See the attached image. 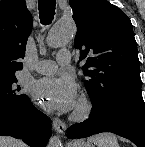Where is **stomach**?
<instances>
[{
    "instance_id": "stomach-1",
    "label": "stomach",
    "mask_w": 145,
    "mask_h": 147,
    "mask_svg": "<svg viewBox=\"0 0 145 147\" xmlns=\"http://www.w3.org/2000/svg\"><path fill=\"white\" fill-rule=\"evenodd\" d=\"M80 147H93V145L87 142V143H83L82 146Z\"/></svg>"
}]
</instances>
